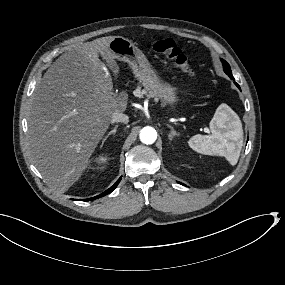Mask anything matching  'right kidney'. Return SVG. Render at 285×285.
<instances>
[{
  "label": "right kidney",
  "instance_id": "ca27d5eb",
  "mask_svg": "<svg viewBox=\"0 0 285 285\" xmlns=\"http://www.w3.org/2000/svg\"><path fill=\"white\" fill-rule=\"evenodd\" d=\"M106 161H107V156L106 155H101L98 158H96V162L98 164L105 163Z\"/></svg>",
  "mask_w": 285,
  "mask_h": 285
}]
</instances>
